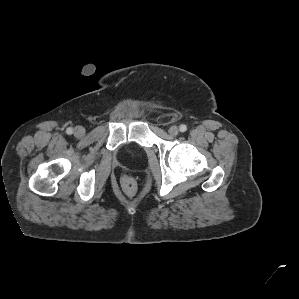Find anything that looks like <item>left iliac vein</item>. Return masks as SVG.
Segmentation results:
<instances>
[{
    "label": "left iliac vein",
    "instance_id": "obj_1",
    "mask_svg": "<svg viewBox=\"0 0 299 299\" xmlns=\"http://www.w3.org/2000/svg\"><path fill=\"white\" fill-rule=\"evenodd\" d=\"M168 132L171 136H176L179 133V129L177 126L173 125L169 128Z\"/></svg>",
    "mask_w": 299,
    "mask_h": 299
}]
</instances>
